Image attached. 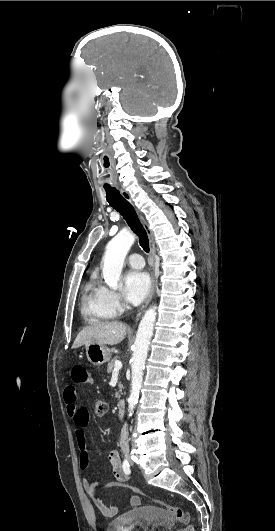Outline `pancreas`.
<instances>
[{
  "mask_svg": "<svg viewBox=\"0 0 275 531\" xmlns=\"http://www.w3.org/2000/svg\"><path fill=\"white\" fill-rule=\"evenodd\" d=\"M118 359H119V357H114V359H111V361H109V363L107 365V373H112V371L114 369V363H115V361H118ZM118 387H119L120 391H122L121 383H119ZM118 393H119V391H118ZM118 393H117V397H119Z\"/></svg>",
  "mask_w": 275,
  "mask_h": 531,
  "instance_id": "obj_1",
  "label": "pancreas"
}]
</instances>
